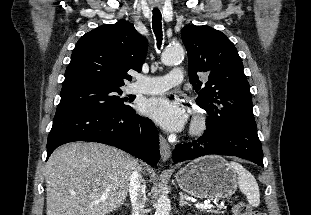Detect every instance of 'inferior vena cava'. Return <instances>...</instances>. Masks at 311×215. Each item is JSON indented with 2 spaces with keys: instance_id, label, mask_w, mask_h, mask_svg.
<instances>
[{
  "instance_id": "602c4592",
  "label": "inferior vena cava",
  "mask_w": 311,
  "mask_h": 215,
  "mask_svg": "<svg viewBox=\"0 0 311 215\" xmlns=\"http://www.w3.org/2000/svg\"><path fill=\"white\" fill-rule=\"evenodd\" d=\"M145 182L138 169L133 170L130 176L129 194L132 205V215H139V210L145 204Z\"/></svg>"
}]
</instances>
